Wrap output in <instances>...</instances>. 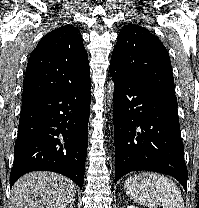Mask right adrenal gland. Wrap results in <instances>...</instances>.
<instances>
[{
    "instance_id": "2a0ac1e0",
    "label": "right adrenal gland",
    "mask_w": 199,
    "mask_h": 208,
    "mask_svg": "<svg viewBox=\"0 0 199 208\" xmlns=\"http://www.w3.org/2000/svg\"><path fill=\"white\" fill-rule=\"evenodd\" d=\"M67 208H74V201L70 203L69 206H67Z\"/></svg>"
}]
</instances>
